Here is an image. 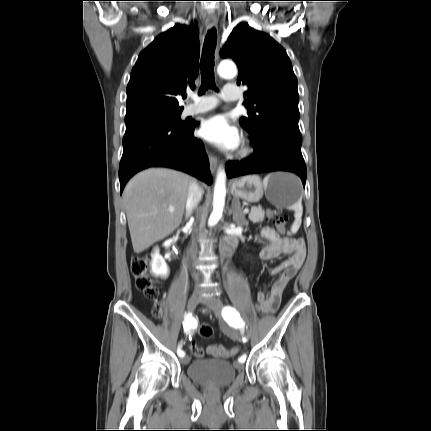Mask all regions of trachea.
Masks as SVG:
<instances>
[{
	"mask_svg": "<svg viewBox=\"0 0 431 431\" xmlns=\"http://www.w3.org/2000/svg\"><path fill=\"white\" fill-rule=\"evenodd\" d=\"M217 43V33L215 28H212L205 39L203 52L200 62L202 83L200 93H204L208 88H215L214 78V50Z\"/></svg>",
	"mask_w": 431,
	"mask_h": 431,
	"instance_id": "obj_1",
	"label": "trachea"
}]
</instances>
